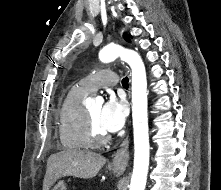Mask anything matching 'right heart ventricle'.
<instances>
[{
	"mask_svg": "<svg viewBox=\"0 0 221 190\" xmlns=\"http://www.w3.org/2000/svg\"><path fill=\"white\" fill-rule=\"evenodd\" d=\"M80 84L69 89L58 112V133L65 150H83L88 147L85 137V108L83 100L89 95Z\"/></svg>",
	"mask_w": 221,
	"mask_h": 190,
	"instance_id": "obj_1",
	"label": "right heart ventricle"
}]
</instances>
